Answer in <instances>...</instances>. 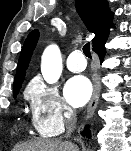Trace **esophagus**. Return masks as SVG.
<instances>
[{
	"label": "esophagus",
	"mask_w": 131,
	"mask_h": 151,
	"mask_svg": "<svg viewBox=\"0 0 131 151\" xmlns=\"http://www.w3.org/2000/svg\"><path fill=\"white\" fill-rule=\"evenodd\" d=\"M99 95H100V84L99 82H95L93 96L91 98V101L88 105L86 112V120L90 119L93 116L99 101Z\"/></svg>",
	"instance_id": "esophagus-1"
}]
</instances>
